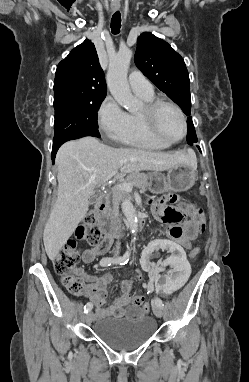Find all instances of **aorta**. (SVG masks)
<instances>
[{
  "instance_id": "1",
  "label": "aorta",
  "mask_w": 249,
  "mask_h": 382,
  "mask_svg": "<svg viewBox=\"0 0 249 382\" xmlns=\"http://www.w3.org/2000/svg\"><path fill=\"white\" fill-rule=\"evenodd\" d=\"M132 58L130 49H120L118 53L110 59L107 73V85L114 99L129 112L138 108V101L134 98L128 81L127 72ZM122 210L126 218L128 227L133 235L138 231V219L136 211L130 201H125ZM135 237L133 241H135Z\"/></svg>"
}]
</instances>
